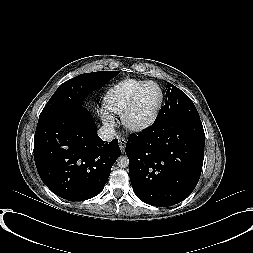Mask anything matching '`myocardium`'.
I'll return each mask as SVG.
<instances>
[{
    "mask_svg": "<svg viewBox=\"0 0 253 253\" xmlns=\"http://www.w3.org/2000/svg\"><path fill=\"white\" fill-rule=\"evenodd\" d=\"M148 85H154L156 86L159 91H160V102L157 106V108L155 109L154 113L152 114V116L150 117V119L144 123L141 124H136L133 123L131 120V115L137 105L139 96L141 94V92L143 91V89L148 86ZM164 101H165V94L164 91L162 89V87L155 81H145L143 82L140 86L137 87V89L134 91L129 103L127 104L126 108L124 109L123 113H122V123L123 125L130 131L132 132H136V133H140V132H144L148 129H150L155 122L158 119V116L163 108L164 105Z\"/></svg>",
    "mask_w": 253,
    "mask_h": 253,
    "instance_id": "f54148a6",
    "label": "myocardium"
}]
</instances>
